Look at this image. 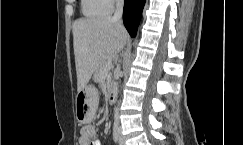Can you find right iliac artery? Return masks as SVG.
<instances>
[{"mask_svg":"<svg viewBox=\"0 0 243 145\" xmlns=\"http://www.w3.org/2000/svg\"><path fill=\"white\" fill-rule=\"evenodd\" d=\"M113 139L115 142H118V140H119V128H118L117 124H114V127H113Z\"/></svg>","mask_w":243,"mask_h":145,"instance_id":"right-iliac-artery-1","label":"right iliac artery"}]
</instances>
